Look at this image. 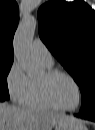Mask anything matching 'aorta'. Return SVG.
I'll list each match as a JSON object with an SVG mask.
<instances>
[{"label":"aorta","instance_id":"762f6f07","mask_svg":"<svg viewBox=\"0 0 95 130\" xmlns=\"http://www.w3.org/2000/svg\"><path fill=\"white\" fill-rule=\"evenodd\" d=\"M37 20L33 16H25L14 37V53L27 75L32 77L39 71L37 60L33 53V36Z\"/></svg>","mask_w":95,"mask_h":130}]
</instances>
